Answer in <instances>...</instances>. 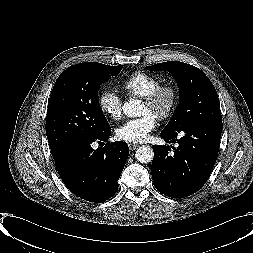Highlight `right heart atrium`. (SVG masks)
Instances as JSON below:
<instances>
[{
    "label": "right heart atrium",
    "instance_id": "1",
    "mask_svg": "<svg viewBox=\"0 0 253 253\" xmlns=\"http://www.w3.org/2000/svg\"><path fill=\"white\" fill-rule=\"evenodd\" d=\"M100 110L109 118L117 120L122 115L123 101L113 89L104 90L98 98Z\"/></svg>",
    "mask_w": 253,
    "mask_h": 253
}]
</instances>
